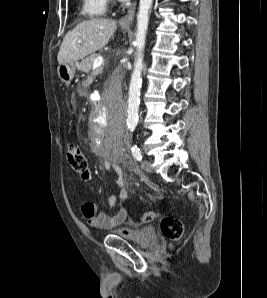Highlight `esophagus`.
Wrapping results in <instances>:
<instances>
[{"mask_svg":"<svg viewBox=\"0 0 267 298\" xmlns=\"http://www.w3.org/2000/svg\"><path fill=\"white\" fill-rule=\"evenodd\" d=\"M135 9H136V5L134 4L127 12V14L125 16H123L120 20H119V24L121 26H129L134 18L135 15Z\"/></svg>","mask_w":267,"mask_h":298,"instance_id":"34e87169","label":"esophagus"}]
</instances>
